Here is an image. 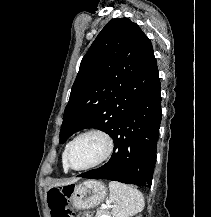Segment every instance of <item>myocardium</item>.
<instances>
[{"mask_svg":"<svg viewBox=\"0 0 211 217\" xmlns=\"http://www.w3.org/2000/svg\"><path fill=\"white\" fill-rule=\"evenodd\" d=\"M88 134H97V135L101 136L106 142V151H105L104 155L99 160H97L96 162H94V163H92L90 165L84 166V167L76 168L70 162L71 148L79 138H81V137H83L85 135H88ZM113 152H114V140L111 137V135L108 132H106L105 130H103V129L90 128V129H87V130L79 133L77 136H75L69 142V145L67 147L66 154H65V160H66V164H67L69 169L74 170V171H85V170H90V169L96 168V167L104 164L105 162H107L111 158Z\"/></svg>","mask_w":211,"mask_h":217,"instance_id":"f54148a6","label":"myocardium"}]
</instances>
